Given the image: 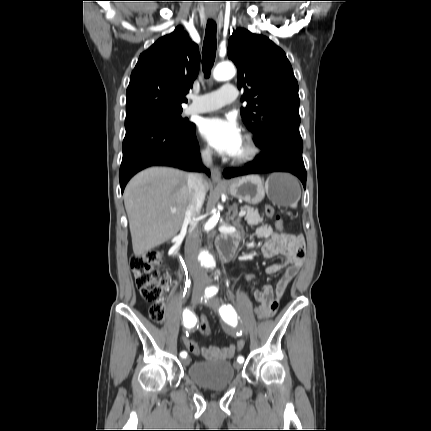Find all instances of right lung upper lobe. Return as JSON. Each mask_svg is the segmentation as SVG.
I'll list each match as a JSON object with an SVG mask.
<instances>
[{"label": "right lung upper lobe", "instance_id": "right-lung-upper-lobe-1", "mask_svg": "<svg viewBox=\"0 0 431 431\" xmlns=\"http://www.w3.org/2000/svg\"><path fill=\"white\" fill-rule=\"evenodd\" d=\"M200 53L182 27L143 52L126 91V119L181 111V103L199 72Z\"/></svg>", "mask_w": 431, "mask_h": 431}]
</instances>
